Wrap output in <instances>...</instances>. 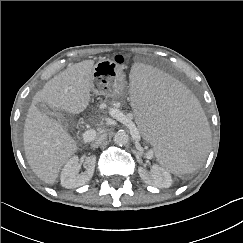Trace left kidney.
Segmentation results:
<instances>
[{
	"label": "left kidney",
	"instance_id": "5707ae66",
	"mask_svg": "<svg viewBox=\"0 0 243 243\" xmlns=\"http://www.w3.org/2000/svg\"><path fill=\"white\" fill-rule=\"evenodd\" d=\"M138 173L142 180L149 184L159 188H168L172 184V177L168 171L159 167L153 166L151 172H148L146 169L139 167Z\"/></svg>",
	"mask_w": 243,
	"mask_h": 243
}]
</instances>
